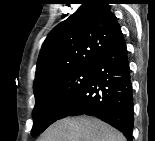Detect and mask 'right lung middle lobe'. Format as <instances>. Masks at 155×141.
<instances>
[{
  "label": "right lung middle lobe",
  "instance_id": "right-lung-middle-lobe-1",
  "mask_svg": "<svg viewBox=\"0 0 155 141\" xmlns=\"http://www.w3.org/2000/svg\"><path fill=\"white\" fill-rule=\"evenodd\" d=\"M93 68H77L53 75L34 87L32 136L41 134L59 119L64 109L78 96Z\"/></svg>",
  "mask_w": 155,
  "mask_h": 141
}]
</instances>
